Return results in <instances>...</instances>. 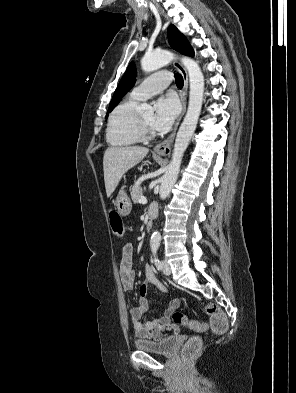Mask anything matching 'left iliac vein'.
Returning a JSON list of instances; mask_svg holds the SVG:
<instances>
[{"label": "left iliac vein", "mask_w": 296, "mask_h": 393, "mask_svg": "<svg viewBox=\"0 0 296 393\" xmlns=\"http://www.w3.org/2000/svg\"><path fill=\"white\" fill-rule=\"evenodd\" d=\"M162 264H163V273L165 274V275H170L171 274V268H170V265H169V263L167 262V261H163L162 262Z\"/></svg>", "instance_id": "left-iliac-vein-1"}]
</instances>
